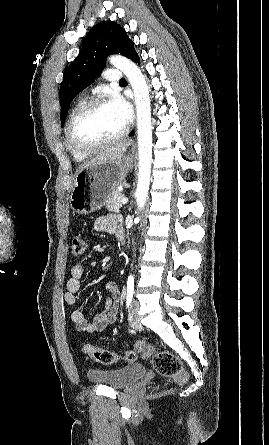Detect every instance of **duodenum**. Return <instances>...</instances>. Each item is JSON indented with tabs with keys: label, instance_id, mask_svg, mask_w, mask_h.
I'll list each match as a JSON object with an SVG mask.
<instances>
[{
	"label": "duodenum",
	"instance_id": "410a0bca",
	"mask_svg": "<svg viewBox=\"0 0 269 445\" xmlns=\"http://www.w3.org/2000/svg\"><path fill=\"white\" fill-rule=\"evenodd\" d=\"M117 237H118L120 245L123 246L125 244V237H124L123 232H120Z\"/></svg>",
	"mask_w": 269,
	"mask_h": 445
}]
</instances>
